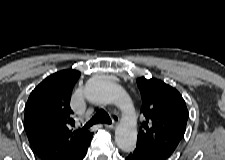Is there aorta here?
I'll return each mask as SVG.
<instances>
[{"label": "aorta", "mask_w": 225, "mask_h": 160, "mask_svg": "<svg viewBox=\"0 0 225 160\" xmlns=\"http://www.w3.org/2000/svg\"><path fill=\"white\" fill-rule=\"evenodd\" d=\"M88 101L94 104L114 103L123 111V120L115 131L117 146L126 152L133 151L137 142V128L134 108L126 92L116 83L97 80L84 90Z\"/></svg>", "instance_id": "762f6f07"}]
</instances>
